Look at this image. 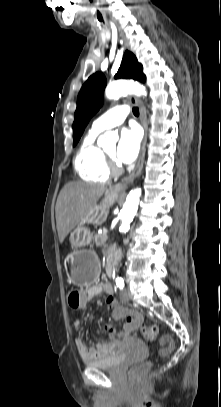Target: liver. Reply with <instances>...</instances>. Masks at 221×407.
<instances>
[{
	"label": "liver",
	"instance_id": "1",
	"mask_svg": "<svg viewBox=\"0 0 221 407\" xmlns=\"http://www.w3.org/2000/svg\"><path fill=\"white\" fill-rule=\"evenodd\" d=\"M108 191L110 190L103 185L83 182H70L63 187L55 207L60 243L97 206L100 197Z\"/></svg>",
	"mask_w": 221,
	"mask_h": 407
}]
</instances>
